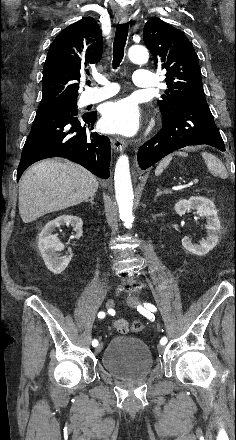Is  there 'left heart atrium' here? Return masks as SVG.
Masks as SVG:
<instances>
[{
    "mask_svg": "<svg viewBox=\"0 0 236 440\" xmlns=\"http://www.w3.org/2000/svg\"><path fill=\"white\" fill-rule=\"evenodd\" d=\"M139 124L138 109L130 99L112 102L104 109L102 126L109 133L132 135L139 129Z\"/></svg>",
    "mask_w": 236,
    "mask_h": 440,
    "instance_id": "obj_1",
    "label": "left heart atrium"
}]
</instances>
